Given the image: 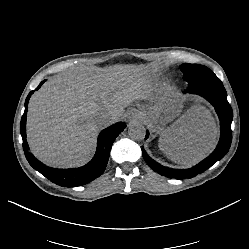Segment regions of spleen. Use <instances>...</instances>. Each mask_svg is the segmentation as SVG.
I'll use <instances>...</instances> for the list:
<instances>
[{"instance_id":"3e777b00","label":"spleen","mask_w":249,"mask_h":249,"mask_svg":"<svg viewBox=\"0 0 249 249\" xmlns=\"http://www.w3.org/2000/svg\"><path fill=\"white\" fill-rule=\"evenodd\" d=\"M159 148H160L162 151H164L165 154H166L169 158H171V160H174V157H173V155H172V152H171V150H170L167 146H164V148H163V147H161V145H159Z\"/></svg>"}]
</instances>
